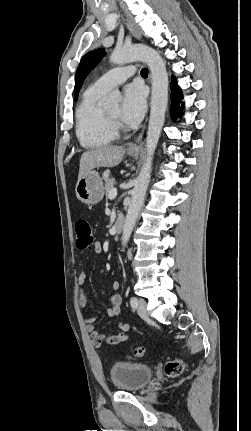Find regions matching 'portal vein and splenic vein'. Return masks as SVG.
<instances>
[{"label": "portal vein and splenic vein", "instance_id": "portal-vein-and-splenic-vein-1", "mask_svg": "<svg viewBox=\"0 0 251 431\" xmlns=\"http://www.w3.org/2000/svg\"><path fill=\"white\" fill-rule=\"evenodd\" d=\"M116 196H117V189H116V188H113V189L110 191V193H109V195H108V198L112 200V199H114Z\"/></svg>", "mask_w": 251, "mask_h": 431}]
</instances>
